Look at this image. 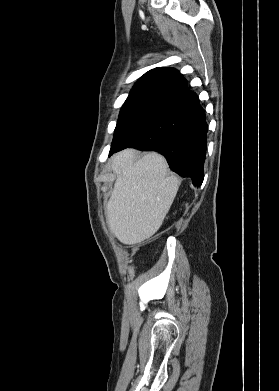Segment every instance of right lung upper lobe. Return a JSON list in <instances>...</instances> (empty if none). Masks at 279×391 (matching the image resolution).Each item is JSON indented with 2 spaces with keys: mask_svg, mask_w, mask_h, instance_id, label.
Returning <instances> with one entry per match:
<instances>
[{
  "mask_svg": "<svg viewBox=\"0 0 279 391\" xmlns=\"http://www.w3.org/2000/svg\"><path fill=\"white\" fill-rule=\"evenodd\" d=\"M190 92L187 81L174 68H155L134 85L121 110L139 107L163 108Z\"/></svg>",
  "mask_w": 279,
  "mask_h": 391,
  "instance_id": "1",
  "label": "right lung upper lobe"
}]
</instances>
